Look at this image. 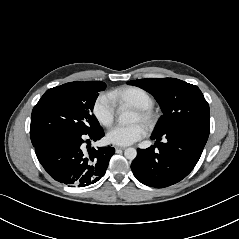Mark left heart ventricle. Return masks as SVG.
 <instances>
[{
    "instance_id": "left-heart-ventricle-1",
    "label": "left heart ventricle",
    "mask_w": 239,
    "mask_h": 239,
    "mask_svg": "<svg viewBox=\"0 0 239 239\" xmlns=\"http://www.w3.org/2000/svg\"><path fill=\"white\" fill-rule=\"evenodd\" d=\"M132 122L133 123H142V124H144L143 118L137 112L134 113L133 118H132Z\"/></svg>"
}]
</instances>
